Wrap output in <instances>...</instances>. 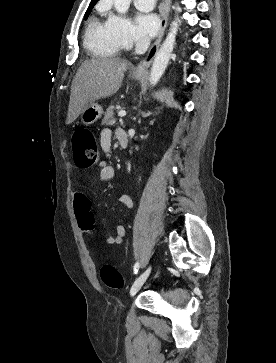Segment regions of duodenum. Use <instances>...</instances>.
<instances>
[{
    "mask_svg": "<svg viewBox=\"0 0 276 363\" xmlns=\"http://www.w3.org/2000/svg\"><path fill=\"white\" fill-rule=\"evenodd\" d=\"M120 146L125 149L128 145V138L125 132H119L117 135Z\"/></svg>",
    "mask_w": 276,
    "mask_h": 363,
    "instance_id": "410a0bca",
    "label": "duodenum"
}]
</instances>
